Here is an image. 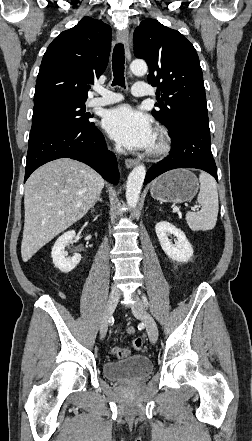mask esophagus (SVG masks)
<instances>
[{
  "mask_svg": "<svg viewBox=\"0 0 252 441\" xmlns=\"http://www.w3.org/2000/svg\"><path fill=\"white\" fill-rule=\"evenodd\" d=\"M117 38L120 42H122L125 46V56L127 61L129 62L131 59V52L129 48V33L127 29H119L117 31ZM128 75L132 77V74L128 71ZM138 164V160L136 159H127L125 161V165L128 169L134 167Z\"/></svg>",
  "mask_w": 252,
  "mask_h": 441,
  "instance_id": "1",
  "label": "esophagus"
}]
</instances>
